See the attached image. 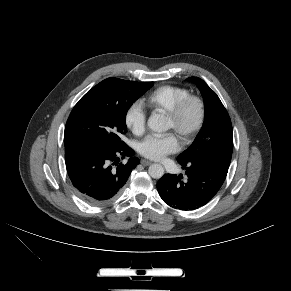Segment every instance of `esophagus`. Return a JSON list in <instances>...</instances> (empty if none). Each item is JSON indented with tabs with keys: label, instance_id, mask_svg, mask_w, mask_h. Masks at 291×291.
Returning a JSON list of instances; mask_svg holds the SVG:
<instances>
[{
	"label": "esophagus",
	"instance_id": "obj_1",
	"mask_svg": "<svg viewBox=\"0 0 291 291\" xmlns=\"http://www.w3.org/2000/svg\"><path fill=\"white\" fill-rule=\"evenodd\" d=\"M140 163L143 165V166H149L152 164V162L148 161V160H145V159H142L140 161Z\"/></svg>",
	"mask_w": 291,
	"mask_h": 291
}]
</instances>
